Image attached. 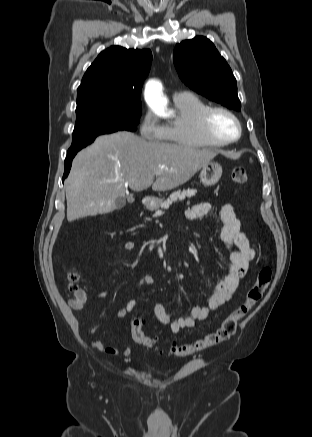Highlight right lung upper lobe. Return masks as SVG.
Segmentation results:
<instances>
[{"label": "right lung upper lobe", "mask_w": 312, "mask_h": 437, "mask_svg": "<svg viewBox=\"0 0 312 437\" xmlns=\"http://www.w3.org/2000/svg\"><path fill=\"white\" fill-rule=\"evenodd\" d=\"M151 61L149 49L112 46L101 52L87 69L77 89V107L141 104L142 84L149 73Z\"/></svg>", "instance_id": "1"}]
</instances>
